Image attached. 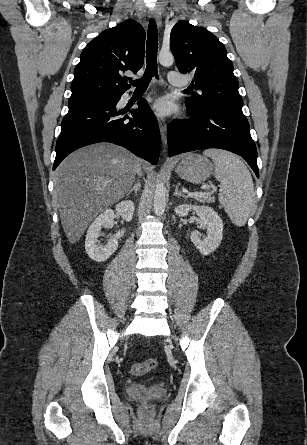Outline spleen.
<instances>
[{
    "label": "spleen",
    "instance_id": "3e777b00",
    "mask_svg": "<svg viewBox=\"0 0 307 445\" xmlns=\"http://www.w3.org/2000/svg\"><path fill=\"white\" fill-rule=\"evenodd\" d=\"M203 154L215 162V178L221 182L220 204L236 227H244L257 208L254 184L246 164L233 152L221 148H207Z\"/></svg>",
    "mask_w": 307,
    "mask_h": 445
}]
</instances>
